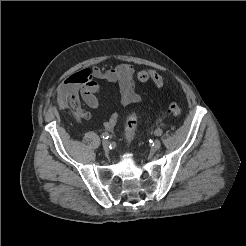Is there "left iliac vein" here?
<instances>
[{
	"label": "left iliac vein",
	"instance_id": "1",
	"mask_svg": "<svg viewBox=\"0 0 246 246\" xmlns=\"http://www.w3.org/2000/svg\"><path fill=\"white\" fill-rule=\"evenodd\" d=\"M161 147V141L160 140H155L152 146L153 151L159 150Z\"/></svg>",
	"mask_w": 246,
	"mask_h": 246
}]
</instances>
